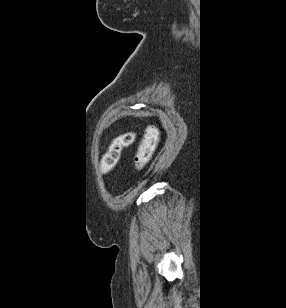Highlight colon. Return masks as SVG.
Returning <instances> with one entry per match:
<instances>
[{
	"label": "colon",
	"instance_id": "obj_1",
	"mask_svg": "<svg viewBox=\"0 0 286 308\" xmlns=\"http://www.w3.org/2000/svg\"><path fill=\"white\" fill-rule=\"evenodd\" d=\"M136 140V133L133 131L125 132L117 136L110 144L107 152L101 159L100 168L103 173H108L117 165L123 149L131 146ZM155 147L152 138L143 140L134 158V170L142 171L150 162Z\"/></svg>",
	"mask_w": 286,
	"mask_h": 308
}]
</instances>
